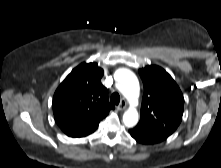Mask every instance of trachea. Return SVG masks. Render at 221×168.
<instances>
[{"label": "trachea", "instance_id": "3493384b", "mask_svg": "<svg viewBox=\"0 0 221 168\" xmlns=\"http://www.w3.org/2000/svg\"><path fill=\"white\" fill-rule=\"evenodd\" d=\"M110 102L114 105H118L120 102V96L118 93H113L110 98Z\"/></svg>", "mask_w": 221, "mask_h": 168}]
</instances>
